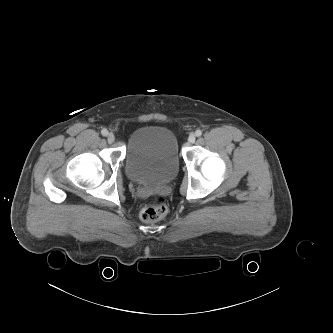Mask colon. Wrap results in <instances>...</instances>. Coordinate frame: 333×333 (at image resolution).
<instances>
[{"instance_id":"colon-1","label":"colon","mask_w":333,"mask_h":333,"mask_svg":"<svg viewBox=\"0 0 333 333\" xmlns=\"http://www.w3.org/2000/svg\"><path fill=\"white\" fill-rule=\"evenodd\" d=\"M167 210L165 200L159 197L142 207L140 211V218L146 222L158 221L166 216Z\"/></svg>"}]
</instances>
